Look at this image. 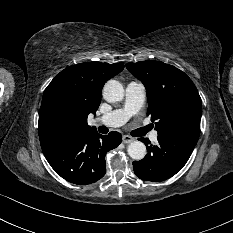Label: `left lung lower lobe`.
<instances>
[{"label":"left lung lower lobe","instance_id":"left-lung-lower-lobe-1","mask_svg":"<svg viewBox=\"0 0 233 233\" xmlns=\"http://www.w3.org/2000/svg\"><path fill=\"white\" fill-rule=\"evenodd\" d=\"M198 138L195 133L158 136V144L154 146L149 145L147 138H141L148 153L144 159L133 162L135 174L142 180L154 182L172 177L186 164Z\"/></svg>","mask_w":233,"mask_h":233}]
</instances>
